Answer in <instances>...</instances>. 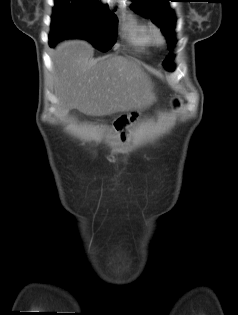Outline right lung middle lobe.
Instances as JSON below:
<instances>
[{
	"label": "right lung middle lobe",
	"instance_id": "right-lung-middle-lobe-1",
	"mask_svg": "<svg viewBox=\"0 0 238 315\" xmlns=\"http://www.w3.org/2000/svg\"><path fill=\"white\" fill-rule=\"evenodd\" d=\"M116 27V15L104 6L83 0H55L49 44L53 47L63 39L81 38L108 51L116 41Z\"/></svg>",
	"mask_w": 238,
	"mask_h": 315
}]
</instances>
